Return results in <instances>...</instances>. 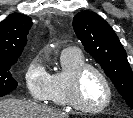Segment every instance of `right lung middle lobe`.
Listing matches in <instances>:
<instances>
[{"label":"right lung middle lobe","mask_w":133,"mask_h":118,"mask_svg":"<svg viewBox=\"0 0 133 118\" xmlns=\"http://www.w3.org/2000/svg\"><path fill=\"white\" fill-rule=\"evenodd\" d=\"M17 60H0V97L14 90L18 83L11 75V68Z\"/></svg>","instance_id":"1"}]
</instances>
